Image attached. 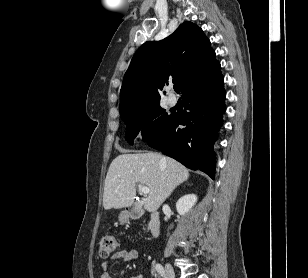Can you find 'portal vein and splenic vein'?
<instances>
[{"instance_id":"portal-vein-and-splenic-vein-1","label":"portal vein and splenic vein","mask_w":308,"mask_h":278,"mask_svg":"<svg viewBox=\"0 0 308 278\" xmlns=\"http://www.w3.org/2000/svg\"><path fill=\"white\" fill-rule=\"evenodd\" d=\"M141 191H142L143 194H148L149 188L145 185H141Z\"/></svg>"}]
</instances>
